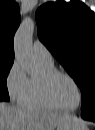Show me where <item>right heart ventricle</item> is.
Returning a JSON list of instances; mask_svg holds the SVG:
<instances>
[{
	"label": "right heart ventricle",
	"instance_id": "right-heart-ventricle-1",
	"mask_svg": "<svg viewBox=\"0 0 95 130\" xmlns=\"http://www.w3.org/2000/svg\"><path fill=\"white\" fill-rule=\"evenodd\" d=\"M45 72H50L55 70L54 65H48L42 63ZM23 105L27 108H36V109H47V110H55L56 108L53 107L44 97L40 79L31 78L29 82V87L23 101Z\"/></svg>",
	"mask_w": 95,
	"mask_h": 130
}]
</instances>
